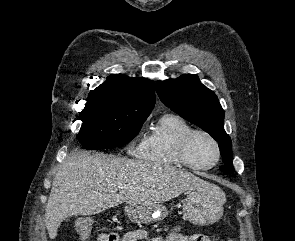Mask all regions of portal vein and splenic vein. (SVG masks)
Wrapping results in <instances>:
<instances>
[{"mask_svg": "<svg viewBox=\"0 0 295 241\" xmlns=\"http://www.w3.org/2000/svg\"><path fill=\"white\" fill-rule=\"evenodd\" d=\"M118 188H121V189L126 188V185L125 184H119Z\"/></svg>", "mask_w": 295, "mask_h": 241, "instance_id": "18ae733b", "label": "portal vein and splenic vein"}]
</instances>
